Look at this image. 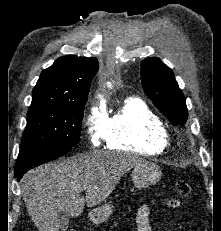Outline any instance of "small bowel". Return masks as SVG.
Masks as SVG:
<instances>
[{
    "instance_id": "1",
    "label": "small bowel",
    "mask_w": 221,
    "mask_h": 231,
    "mask_svg": "<svg viewBox=\"0 0 221 231\" xmlns=\"http://www.w3.org/2000/svg\"><path fill=\"white\" fill-rule=\"evenodd\" d=\"M164 203L169 206L176 208L179 206V202L174 199H166ZM153 204H156V201H152L149 204L141 206L136 215L137 230L138 231H152V228L149 223V218L151 214V207Z\"/></svg>"
}]
</instances>
